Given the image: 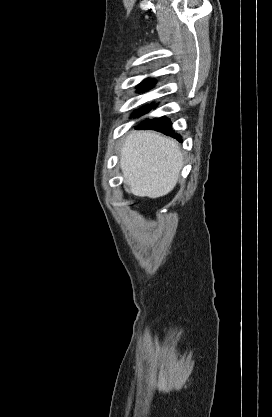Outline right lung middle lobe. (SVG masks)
<instances>
[{"label":"right lung middle lobe","mask_w":272,"mask_h":417,"mask_svg":"<svg viewBox=\"0 0 272 417\" xmlns=\"http://www.w3.org/2000/svg\"><path fill=\"white\" fill-rule=\"evenodd\" d=\"M139 92H142V91H139ZM152 107H153V104L148 108L145 107V108H142L140 110L135 111L133 113V117H137V116H140V115H143V114L147 113Z\"/></svg>","instance_id":"right-lung-middle-lobe-1"}]
</instances>
